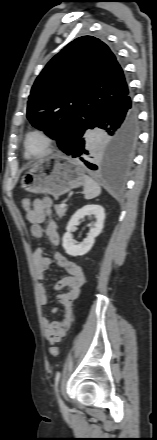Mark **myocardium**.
I'll use <instances>...</instances> for the list:
<instances>
[{
	"label": "myocardium",
	"mask_w": 157,
	"mask_h": 440,
	"mask_svg": "<svg viewBox=\"0 0 157 440\" xmlns=\"http://www.w3.org/2000/svg\"><path fill=\"white\" fill-rule=\"evenodd\" d=\"M32 135H39L41 136L45 142H46V149L44 152L40 153V154H36V155H32L29 150H28V139L30 136ZM55 146V140L53 139V137L44 129L41 128H35L30 130L29 132L26 133L24 141H23V147H24V151L27 155L30 156H36V157H40V156H44L49 154L53 148Z\"/></svg>",
	"instance_id": "1"
}]
</instances>
